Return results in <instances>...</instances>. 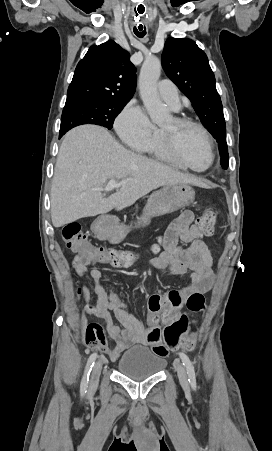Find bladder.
Wrapping results in <instances>:
<instances>
[{"instance_id": "31cf9c89", "label": "bladder", "mask_w": 272, "mask_h": 451, "mask_svg": "<svg viewBox=\"0 0 272 451\" xmlns=\"http://www.w3.org/2000/svg\"><path fill=\"white\" fill-rule=\"evenodd\" d=\"M166 366V359L147 346L134 345L125 350L117 362L118 373L139 380L159 374Z\"/></svg>"}]
</instances>
